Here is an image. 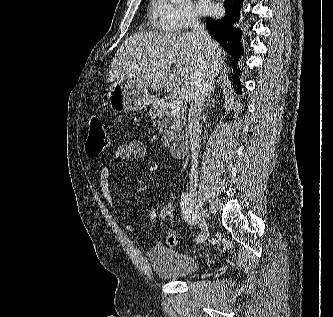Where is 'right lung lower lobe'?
I'll use <instances>...</instances> for the list:
<instances>
[{
  "instance_id": "1",
  "label": "right lung lower lobe",
  "mask_w": 333,
  "mask_h": 317,
  "mask_svg": "<svg viewBox=\"0 0 333 317\" xmlns=\"http://www.w3.org/2000/svg\"><path fill=\"white\" fill-rule=\"evenodd\" d=\"M225 16L221 19H207V29L220 45L234 58L231 65L237 68V60L243 54V47L240 44L241 31L233 27V23L238 21L242 0H225ZM233 81L237 86V92L241 93L239 81V70L233 75Z\"/></svg>"
}]
</instances>
